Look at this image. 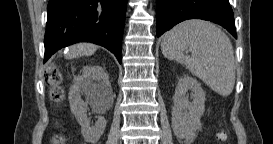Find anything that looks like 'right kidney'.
<instances>
[{"instance_id": "obj_1", "label": "right kidney", "mask_w": 273, "mask_h": 144, "mask_svg": "<svg viewBox=\"0 0 273 144\" xmlns=\"http://www.w3.org/2000/svg\"><path fill=\"white\" fill-rule=\"evenodd\" d=\"M80 92L84 93L90 101L96 99L104 101L111 98L112 89L108 75L99 66H86L83 68L82 76L69 92L70 109L81 125L83 137L87 142L95 144L104 133L107 122L103 116H98L95 126H90L87 104L82 101Z\"/></svg>"}]
</instances>
